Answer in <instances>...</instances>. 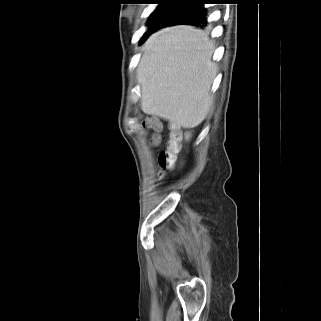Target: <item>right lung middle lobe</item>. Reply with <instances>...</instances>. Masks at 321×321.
<instances>
[{
    "instance_id": "dd1d6c3e",
    "label": "right lung middle lobe",
    "mask_w": 321,
    "mask_h": 321,
    "mask_svg": "<svg viewBox=\"0 0 321 321\" xmlns=\"http://www.w3.org/2000/svg\"><path fill=\"white\" fill-rule=\"evenodd\" d=\"M175 5L172 2H159L156 9L151 14L149 20H148V29L141 38V42H143L148 35L151 34L155 26L158 24V22L161 20V18L169 12L171 9H173Z\"/></svg>"
}]
</instances>
